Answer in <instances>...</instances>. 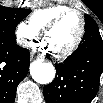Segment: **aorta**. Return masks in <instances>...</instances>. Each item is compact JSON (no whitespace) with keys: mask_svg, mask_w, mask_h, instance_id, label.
<instances>
[{"mask_svg":"<svg viewBox=\"0 0 103 103\" xmlns=\"http://www.w3.org/2000/svg\"><path fill=\"white\" fill-rule=\"evenodd\" d=\"M30 74L39 84H49L55 77V68L51 63L34 61L30 65Z\"/></svg>","mask_w":103,"mask_h":103,"instance_id":"762f6f07","label":"aorta"}]
</instances>
